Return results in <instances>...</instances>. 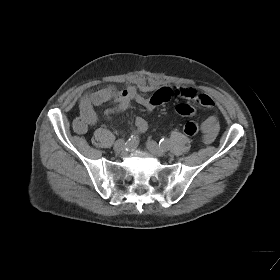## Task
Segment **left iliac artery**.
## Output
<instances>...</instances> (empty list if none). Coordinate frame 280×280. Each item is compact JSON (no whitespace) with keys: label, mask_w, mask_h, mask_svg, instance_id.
I'll return each instance as SVG.
<instances>
[{"label":"left iliac artery","mask_w":280,"mask_h":280,"mask_svg":"<svg viewBox=\"0 0 280 280\" xmlns=\"http://www.w3.org/2000/svg\"><path fill=\"white\" fill-rule=\"evenodd\" d=\"M160 144H161V146L167 148L170 145V140L168 138H165V139L163 138L160 140Z\"/></svg>","instance_id":"left-iliac-artery-1"}]
</instances>
